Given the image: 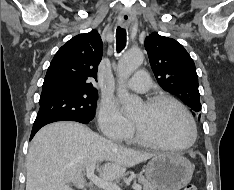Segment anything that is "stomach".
Wrapping results in <instances>:
<instances>
[{"label":"stomach","instance_id":"stomach-1","mask_svg":"<svg viewBox=\"0 0 234 190\" xmlns=\"http://www.w3.org/2000/svg\"><path fill=\"white\" fill-rule=\"evenodd\" d=\"M193 165L178 154L156 155L146 166L145 174L149 183L157 190H180L192 179Z\"/></svg>","mask_w":234,"mask_h":190}]
</instances>
